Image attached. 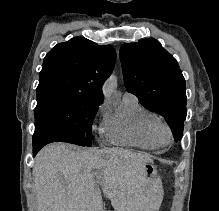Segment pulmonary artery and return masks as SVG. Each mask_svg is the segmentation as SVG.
<instances>
[{"mask_svg": "<svg viewBox=\"0 0 219 211\" xmlns=\"http://www.w3.org/2000/svg\"><path fill=\"white\" fill-rule=\"evenodd\" d=\"M123 98L124 99H135L136 97L132 93L125 92L124 95H123Z\"/></svg>", "mask_w": 219, "mask_h": 211, "instance_id": "obj_1", "label": "pulmonary artery"}]
</instances>
